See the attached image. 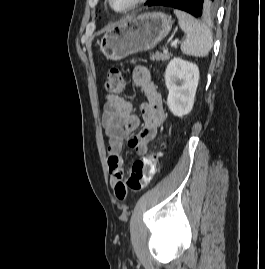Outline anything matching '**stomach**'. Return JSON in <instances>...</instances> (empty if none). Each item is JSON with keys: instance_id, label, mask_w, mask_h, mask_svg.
I'll return each instance as SVG.
<instances>
[{"instance_id": "stomach-1", "label": "stomach", "mask_w": 265, "mask_h": 269, "mask_svg": "<svg viewBox=\"0 0 265 269\" xmlns=\"http://www.w3.org/2000/svg\"><path fill=\"white\" fill-rule=\"evenodd\" d=\"M171 16L149 12L129 18L108 30L100 41L101 52L111 60L154 48L170 32Z\"/></svg>"}]
</instances>
